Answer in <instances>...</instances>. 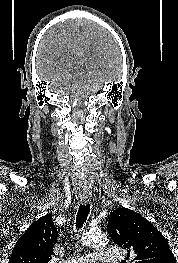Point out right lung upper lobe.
<instances>
[{
	"instance_id": "1",
	"label": "right lung upper lobe",
	"mask_w": 178,
	"mask_h": 263,
	"mask_svg": "<svg viewBox=\"0 0 178 263\" xmlns=\"http://www.w3.org/2000/svg\"><path fill=\"white\" fill-rule=\"evenodd\" d=\"M57 236L52 217L39 218L18 239L9 263H48L54 255Z\"/></svg>"
}]
</instances>
